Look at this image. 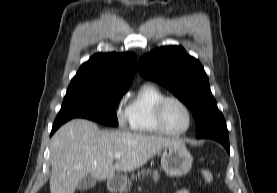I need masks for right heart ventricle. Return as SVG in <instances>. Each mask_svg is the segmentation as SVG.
<instances>
[{"label": "right heart ventricle", "instance_id": "obj_1", "mask_svg": "<svg viewBox=\"0 0 277 193\" xmlns=\"http://www.w3.org/2000/svg\"><path fill=\"white\" fill-rule=\"evenodd\" d=\"M165 93L153 84H144L131 98L126 108L129 127L141 134H159L155 123V107Z\"/></svg>", "mask_w": 277, "mask_h": 193}]
</instances>
